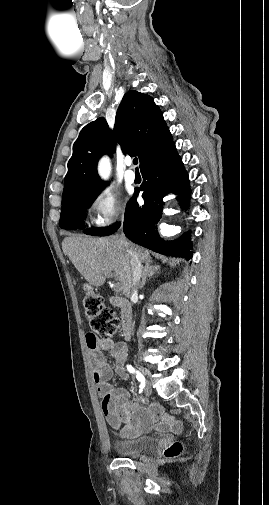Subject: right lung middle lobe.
Segmentation results:
<instances>
[{"mask_svg":"<svg viewBox=\"0 0 269 505\" xmlns=\"http://www.w3.org/2000/svg\"><path fill=\"white\" fill-rule=\"evenodd\" d=\"M103 188L104 186L80 192L62 202L59 226L65 230L81 227L86 209L91 206ZM117 228L118 225H113L107 228H90L86 229L84 233L94 236H107L114 233Z\"/></svg>","mask_w":269,"mask_h":505,"instance_id":"right-lung-middle-lobe-1","label":"right lung middle lobe"}]
</instances>
